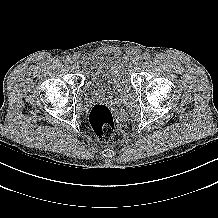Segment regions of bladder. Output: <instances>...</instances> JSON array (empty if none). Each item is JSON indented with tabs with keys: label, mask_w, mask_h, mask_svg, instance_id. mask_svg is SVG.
I'll list each match as a JSON object with an SVG mask.
<instances>
[{
	"label": "bladder",
	"mask_w": 218,
	"mask_h": 218,
	"mask_svg": "<svg viewBox=\"0 0 218 218\" xmlns=\"http://www.w3.org/2000/svg\"><path fill=\"white\" fill-rule=\"evenodd\" d=\"M81 66L84 72V86L89 94H123L130 87L129 66L120 56L87 54L82 57Z\"/></svg>",
	"instance_id": "31cf9c89"
}]
</instances>
